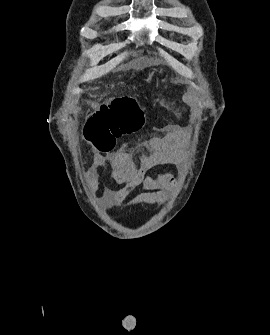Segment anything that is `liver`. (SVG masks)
Listing matches in <instances>:
<instances>
[{"label":"liver","mask_w":270,"mask_h":335,"mask_svg":"<svg viewBox=\"0 0 270 335\" xmlns=\"http://www.w3.org/2000/svg\"><path fill=\"white\" fill-rule=\"evenodd\" d=\"M126 68H131V66H126V64H124V66H120V70H126Z\"/></svg>","instance_id":"liver-1"}]
</instances>
